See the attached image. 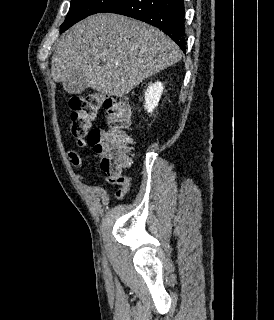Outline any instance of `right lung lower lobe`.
<instances>
[{
  "label": "right lung lower lobe",
  "instance_id": "obj_1",
  "mask_svg": "<svg viewBox=\"0 0 274 320\" xmlns=\"http://www.w3.org/2000/svg\"><path fill=\"white\" fill-rule=\"evenodd\" d=\"M183 0H116L101 12L129 16L156 26L185 52Z\"/></svg>",
  "mask_w": 274,
  "mask_h": 320
}]
</instances>
